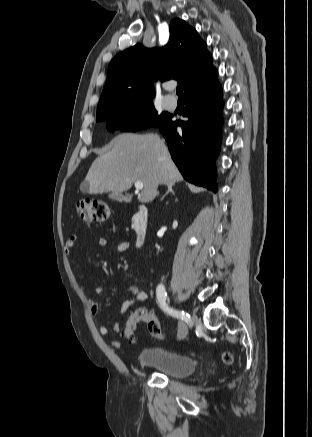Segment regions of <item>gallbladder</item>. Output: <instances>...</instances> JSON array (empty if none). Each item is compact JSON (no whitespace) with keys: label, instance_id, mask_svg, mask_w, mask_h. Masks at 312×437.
I'll return each instance as SVG.
<instances>
[{"label":"gallbladder","instance_id":"bac80fb5","mask_svg":"<svg viewBox=\"0 0 312 437\" xmlns=\"http://www.w3.org/2000/svg\"><path fill=\"white\" fill-rule=\"evenodd\" d=\"M109 197L111 199H113V200H117V201H120V202H122V201L130 202L131 199H132V197L130 195L129 196H123V195L114 194V193L110 194Z\"/></svg>","mask_w":312,"mask_h":437}]
</instances>
